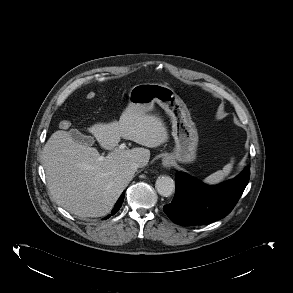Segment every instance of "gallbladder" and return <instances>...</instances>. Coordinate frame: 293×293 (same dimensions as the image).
I'll list each match as a JSON object with an SVG mask.
<instances>
[{
    "label": "gallbladder",
    "instance_id": "obj_1",
    "mask_svg": "<svg viewBox=\"0 0 293 293\" xmlns=\"http://www.w3.org/2000/svg\"><path fill=\"white\" fill-rule=\"evenodd\" d=\"M70 136L77 142L83 143L85 145H92L94 138L92 136H87L82 134L76 129L70 131Z\"/></svg>",
    "mask_w": 293,
    "mask_h": 293
}]
</instances>
